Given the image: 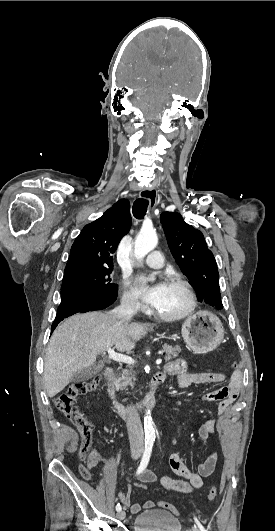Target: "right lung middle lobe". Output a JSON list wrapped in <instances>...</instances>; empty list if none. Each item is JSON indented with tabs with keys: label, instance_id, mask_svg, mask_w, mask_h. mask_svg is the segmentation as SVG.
Returning <instances> with one entry per match:
<instances>
[{
	"label": "right lung middle lobe",
	"instance_id": "obj_1",
	"mask_svg": "<svg viewBox=\"0 0 275 531\" xmlns=\"http://www.w3.org/2000/svg\"><path fill=\"white\" fill-rule=\"evenodd\" d=\"M113 268H82L64 272L61 294L85 293L103 302L115 301L117 285L111 281Z\"/></svg>",
	"mask_w": 275,
	"mask_h": 531
}]
</instances>
